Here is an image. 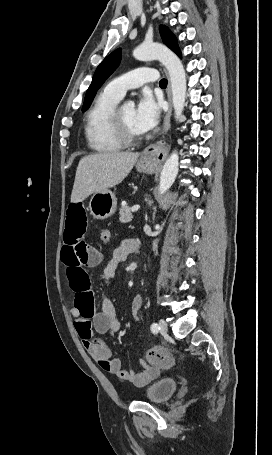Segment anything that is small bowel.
I'll use <instances>...</instances> for the list:
<instances>
[{"instance_id":"small-bowel-1","label":"small bowel","mask_w":272,"mask_h":455,"mask_svg":"<svg viewBox=\"0 0 272 455\" xmlns=\"http://www.w3.org/2000/svg\"><path fill=\"white\" fill-rule=\"evenodd\" d=\"M87 217L80 204H71L67 211L61 260L66 267L67 279L74 294L73 306L70 310L74 318V327L81 338L89 355L98 365L115 375L118 379L144 385L159 374L157 366H150L141 360L142 370L135 372L122 368L121 360L113 355L110 346L103 338L95 339L93 329L100 335L115 334L121 330V321L109 298H104L100 311H95L94 296L91 289L88 269L101 262V252L88 245L85 240ZM137 242L132 239L123 240L113 251L111 260L103 270V281L110 284L117 266L134 252ZM143 304L141 295H136L131 302L132 314L137 317Z\"/></svg>"}]
</instances>
